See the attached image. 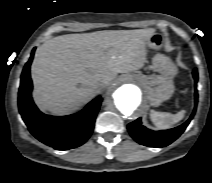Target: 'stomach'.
I'll return each instance as SVG.
<instances>
[{"label": "stomach", "instance_id": "1", "mask_svg": "<svg viewBox=\"0 0 212 183\" xmlns=\"http://www.w3.org/2000/svg\"><path fill=\"white\" fill-rule=\"evenodd\" d=\"M163 42V35L154 32L147 41V47L157 51L162 47ZM151 68L160 75H145L138 72L129 75V77L143 87L147 102L151 106H159L162 102L171 98L174 93L173 77L177 74V68L170 58L160 53L153 57Z\"/></svg>", "mask_w": 212, "mask_h": 183}]
</instances>
